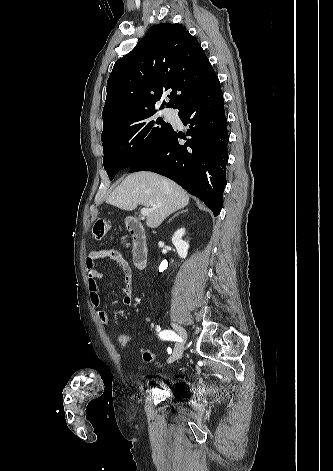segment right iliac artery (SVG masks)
Wrapping results in <instances>:
<instances>
[{
    "label": "right iliac artery",
    "instance_id": "right-iliac-artery-1",
    "mask_svg": "<svg viewBox=\"0 0 333 471\" xmlns=\"http://www.w3.org/2000/svg\"><path fill=\"white\" fill-rule=\"evenodd\" d=\"M159 337L162 340H170V341H177L182 342V338L179 337L174 331L172 330H163L159 333Z\"/></svg>",
    "mask_w": 333,
    "mask_h": 471
}]
</instances>
